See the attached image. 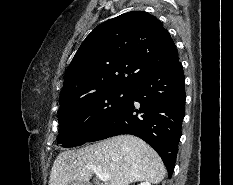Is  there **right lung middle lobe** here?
I'll list each match as a JSON object with an SVG mask.
<instances>
[{"label": "right lung middle lobe", "mask_w": 233, "mask_h": 185, "mask_svg": "<svg viewBox=\"0 0 233 185\" xmlns=\"http://www.w3.org/2000/svg\"><path fill=\"white\" fill-rule=\"evenodd\" d=\"M127 95V89H108L61 107L58 143L63 147L84 144L124 103Z\"/></svg>", "instance_id": "right-lung-middle-lobe-1"}]
</instances>
